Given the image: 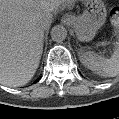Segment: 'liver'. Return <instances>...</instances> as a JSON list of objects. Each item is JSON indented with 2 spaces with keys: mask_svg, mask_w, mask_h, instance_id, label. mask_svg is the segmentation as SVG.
<instances>
[{
  "mask_svg": "<svg viewBox=\"0 0 119 119\" xmlns=\"http://www.w3.org/2000/svg\"><path fill=\"white\" fill-rule=\"evenodd\" d=\"M72 0H0V84L26 85L34 76L43 51L41 24Z\"/></svg>",
  "mask_w": 119,
  "mask_h": 119,
  "instance_id": "6515ba94",
  "label": "liver"
}]
</instances>
